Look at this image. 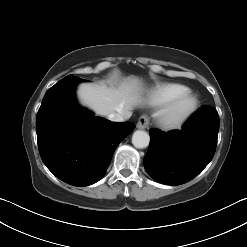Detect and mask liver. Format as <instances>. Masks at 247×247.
I'll return each instance as SVG.
<instances>
[{
    "instance_id": "obj_1",
    "label": "liver",
    "mask_w": 247,
    "mask_h": 247,
    "mask_svg": "<svg viewBox=\"0 0 247 247\" xmlns=\"http://www.w3.org/2000/svg\"><path fill=\"white\" fill-rule=\"evenodd\" d=\"M143 83L138 77L129 76L121 80L117 87L81 84L77 95L82 105L97 114L107 116L120 109L131 110L142 103Z\"/></svg>"
}]
</instances>
